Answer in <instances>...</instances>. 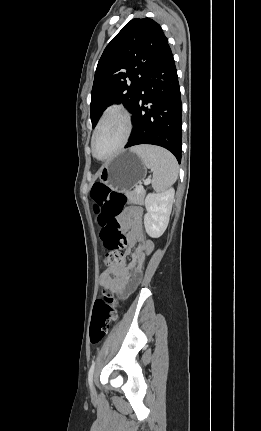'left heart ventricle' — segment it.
Wrapping results in <instances>:
<instances>
[{
  "instance_id": "1",
  "label": "left heart ventricle",
  "mask_w": 261,
  "mask_h": 431,
  "mask_svg": "<svg viewBox=\"0 0 261 431\" xmlns=\"http://www.w3.org/2000/svg\"><path fill=\"white\" fill-rule=\"evenodd\" d=\"M124 129V123L120 117L116 115L109 117L97 133L95 154L100 158L111 154L120 144Z\"/></svg>"
}]
</instances>
